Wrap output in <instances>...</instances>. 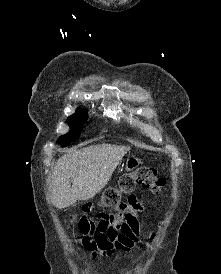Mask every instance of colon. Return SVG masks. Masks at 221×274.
I'll list each match as a JSON object with an SVG mask.
<instances>
[{
	"mask_svg": "<svg viewBox=\"0 0 221 274\" xmlns=\"http://www.w3.org/2000/svg\"><path fill=\"white\" fill-rule=\"evenodd\" d=\"M164 179L157 174V171L150 167H139L133 172L121 176L117 187L106 189L97 203H86L82 210L84 213L94 212L99 208H112L120 204L123 195L130 194L137 186L159 193L164 186ZM77 220V215L71 217V223Z\"/></svg>",
	"mask_w": 221,
	"mask_h": 274,
	"instance_id": "colon-1",
	"label": "colon"
}]
</instances>
